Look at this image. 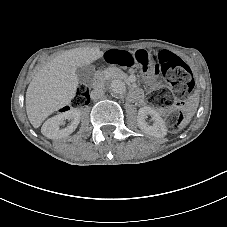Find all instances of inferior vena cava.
Segmentation results:
<instances>
[{"label": "inferior vena cava", "instance_id": "obj_1", "mask_svg": "<svg viewBox=\"0 0 227 227\" xmlns=\"http://www.w3.org/2000/svg\"><path fill=\"white\" fill-rule=\"evenodd\" d=\"M104 90L100 87L94 88L91 92H90V98L92 100H99L100 98H102L104 96Z\"/></svg>", "mask_w": 227, "mask_h": 227}]
</instances>
